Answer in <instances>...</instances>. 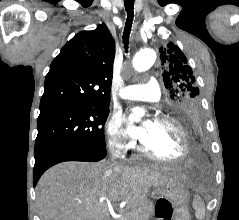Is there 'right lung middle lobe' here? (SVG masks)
Here are the masks:
<instances>
[{"mask_svg":"<svg viewBox=\"0 0 239 220\" xmlns=\"http://www.w3.org/2000/svg\"><path fill=\"white\" fill-rule=\"evenodd\" d=\"M108 106L63 108L40 112L35 153L58 146L106 150L104 124Z\"/></svg>","mask_w":239,"mask_h":220,"instance_id":"right-lung-middle-lobe-1","label":"right lung middle lobe"}]
</instances>
